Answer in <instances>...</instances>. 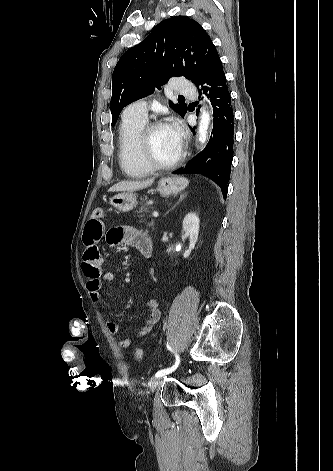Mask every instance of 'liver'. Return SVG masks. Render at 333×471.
<instances>
[{
  "mask_svg": "<svg viewBox=\"0 0 333 471\" xmlns=\"http://www.w3.org/2000/svg\"><path fill=\"white\" fill-rule=\"evenodd\" d=\"M154 182V179H149L146 181H122L110 188V191H128L133 192L136 190H140L146 187H149Z\"/></svg>",
  "mask_w": 333,
  "mask_h": 471,
  "instance_id": "obj_1",
  "label": "liver"
}]
</instances>
